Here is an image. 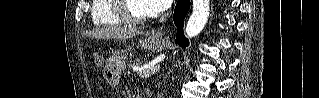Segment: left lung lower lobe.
Returning a JSON list of instances; mask_svg holds the SVG:
<instances>
[{
  "label": "left lung lower lobe",
  "instance_id": "1",
  "mask_svg": "<svg viewBox=\"0 0 319 98\" xmlns=\"http://www.w3.org/2000/svg\"><path fill=\"white\" fill-rule=\"evenodd\" d=\"M189 8H190V0H178L175 11H174V15H173V20L176 26L178 27L176 43L182 47H187L189 44L188 40L183 35L184 18Z\"/></svg>",
  "mask_w": 319,
  "mask_h": 98
}]
</instances>
